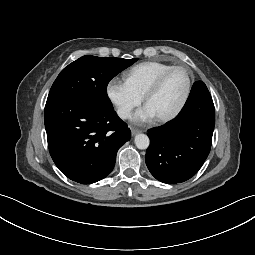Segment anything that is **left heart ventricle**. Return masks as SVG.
Segmentation results:
<instances>
[{"label":"left heart ventricle","instance_id":"1","mask_svg":"<svg viewBox=\"0 0 255 255\" xmlns=\"http://www.w3.org/2000/svg\"><path fill=\"white\" fill-rule=\"evenodd\" d=\"M187 87V75L183 70L173 71L161 89L147 102L155 115L163 116L173 111L181 101Z\"/></svg>","mask_w":255,"mask_h":255}]
</instances>
